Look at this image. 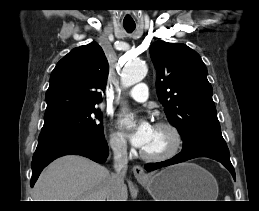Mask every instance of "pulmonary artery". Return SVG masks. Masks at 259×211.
Masks as SVG:
<instances>
[{"instance_id":"obj_1","label":"pulmonary artery","mask_w":259,"mask_h":211,"mask_svg":"<svg viewBox=\"0 0 259 211\" xmlns=\"http://www.w3.org/2000/svg\"><path fill=\"white\" fill-rule=\"evenodd\" d=\"M127 95L137 102H145L148 99V87L144 83L135 85Z\"/></svg>"}]
</instances>
